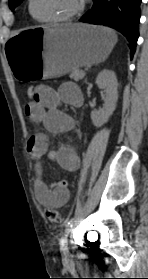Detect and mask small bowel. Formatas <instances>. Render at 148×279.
Masks as SVG:
<instances>
[{
  "instance_id": "c3829d8e",
  "label": "small bowel",
  "mask_w": 148,
  "mask_h": 279,
  "mask_svg": "<svg viewBox=\"0 0 148 279\" xmlns=\"http://www.w3.org/2000/svg\"><path fill=\"white\" fill-rule=\"evenodd\" d=\"M38 95L25 106V114L33 123H42L51 133L63 134L71 131L74 119L60 109L65 103L74 107L81 104L79 88L73 83H65L58 90L47 85L37 86ZM27 150L34 161V192L37 200L46 207H61L69 200L68 181L62 180L49 184L43 176V160L57 162L68 171H75L80 166V156L70 146L50 150L48 138L44 134H35L28 140Z\"/></svg>"
}]
</instances>
